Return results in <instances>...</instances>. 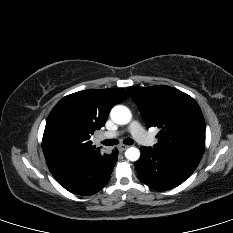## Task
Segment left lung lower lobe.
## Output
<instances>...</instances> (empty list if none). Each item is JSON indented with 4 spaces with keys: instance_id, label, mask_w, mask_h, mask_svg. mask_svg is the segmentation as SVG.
Returning <instances> with one entry per match:
<instances>
[{
    "instance_id": "obj_1",
    "label": "left lung lower lobe",
    "mask_w": 233,
    "mask_h": 233,
    "mask_svg": "<svg viewBox=\"0 0 233 233\" xmlns=\"http://www.w3.org/2000/svg\"><path fill=\"white\" fill-rule=\"evenodd\" d=\"M202 155L188 150L142 146L141 157L134 165L139 177L148 186L157 190H168L190 177Z\"/></svg>"
}]
</instances>
